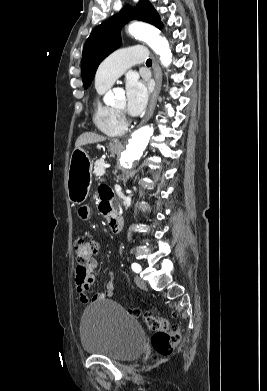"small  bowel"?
<instances>
[{
	"mask_svg": "<svg viewBox=\"0 0 267 391\" xmlns=\"http://www.w3.org/2000/svg\"><path fill=\"white\" fill-rule=\"evenodd\" d=\"M99 196L102 200L101 206L103 204H112V192L107 185H101L99 187ZM77 214L81 220H87L90 215L89 208L86 206H82L78 209ZM95 267L96 262L93 261L91 269L87 272H82L76 269V290L79 295V299L83 304H88L89 302L96 303L106 298H110L114 294L115 274L111 272L109 275V281L107 283L106 289L102 292L96 293L91 299H89V297L87 296V291L94 280Z\"/></svg>",
	"mask_w": 267,
	"mask_h": 391,
	"instance_id": "1",
	"label": "small bowel"
}]
</instances>
